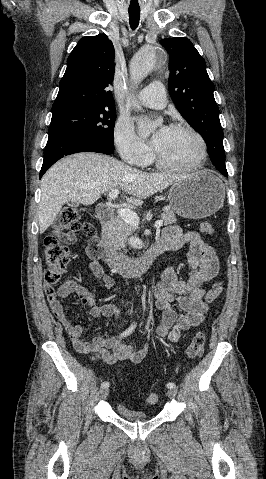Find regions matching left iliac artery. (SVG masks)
<instances>
[{"instance_id":"44dca946","label":"left iliac artery","mask_w":266,"mask_h":479,"mask_svg":"<svg viewBox=\"0 0 266 479\" xmlns=\"http://www.w3.org/2000/svg\"><path fill=\"white\" fill-rule=\"evenodd\" d=\"M166 386H167V388H169V389H175V388H176V385H175L174 383H172V382H171V383H170V382L167 383Z\"/></svg>"}]
</instances>
